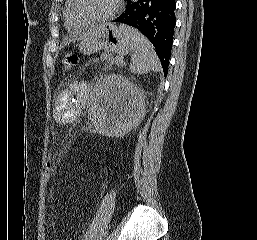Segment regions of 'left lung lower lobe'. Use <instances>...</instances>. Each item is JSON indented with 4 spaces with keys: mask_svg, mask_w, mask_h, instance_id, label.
<instances>
[{
    "mask_svg": "<svg viewBox=\"0 0 257 240\" xmlns=\"http://www.w3.org/2000/svg\"><path fill=\"white\" fill-rule=\"evenodd\" d=\"M175 9V0H127L125 11L113 20L138 29L150 40L165 76L168 73L176 24Z\"/></svg>",
    "mask_w": 257,
    "mask_h": 240,
    "instance_id": "1",
    "label": "left lung lower lobe"
}]
</instances>
